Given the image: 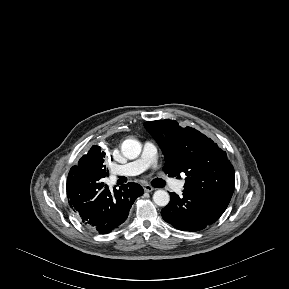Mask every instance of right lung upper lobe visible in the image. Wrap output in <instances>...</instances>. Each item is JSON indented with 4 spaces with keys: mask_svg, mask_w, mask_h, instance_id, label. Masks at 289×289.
I'll use <instances>...</instances> for the list:
<instances>
[{
    "mask_svg": "<svg viewBox=\"0 0 289 289\" xmlns=\"http://www.w3.org/2000/svg\"><path fill=\"white\" fill-rule=\"evenodd\" d=\"M101 155H104V157H106V153L104 152V150L100 146L93 145L90 148L89 152L79 160L78 166H74V167L80 168V169H83L89 173H92L91 171H89V169L84 168L82 166H83V164H86V166H89L92 163H95L97 157H99Z\"/></svg>",
    "mask_w": 289,
    "mask_h": 289,
    "instance_id": "1",
    "label": "right lung upper lobe"
}]
</instances>
